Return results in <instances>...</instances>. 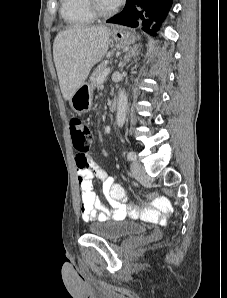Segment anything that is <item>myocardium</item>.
<instances>
[{
    "instance_id": "obj_1",
    "label": "myocardium",
    "mask_w": 227,
    "mask_h": 298,
    "mask_svg": "<svg viewBox=\"0 0 227 298\" xmlns=\"http://www.w3.org/2000/svg\"><path fill=\"white\" fill-rule=\"evenodd\" d=\"M88 7L92 12V14L98 18H105V17L111 16L116 11L115 7H111L109 9L101 8L98 5L97 0H88Z\"/></svg>"
}]
</instances>
